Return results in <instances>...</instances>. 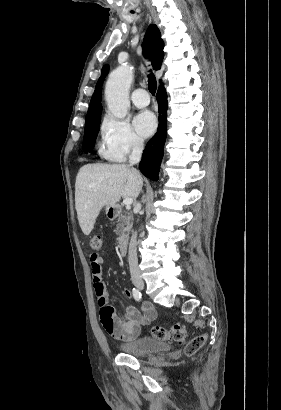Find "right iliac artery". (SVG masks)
<instances>
[{
  "mask_svg": "<svg viewBox=\"0 0 281 410\" xmlns=\"http://www.w3.org/2000/svg\"><path fill=\"white\" fill-rule=\"evenodd\" d=\"M133 296L135 300L140 301L142 298V295L138 289L133 288Z\"/></svg>",
  "mask_w": 281,
  "mask_h": 410,
  "instance_id": "1",
  "label": "right iliac artery"
}]
</instances>
